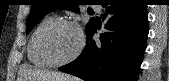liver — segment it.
I'll list each match as a JSON object with an SVG mask.
<instances>
[{
	"label": "liver",
	"mask_w": 169,
	"mask_h": 81,
	"mask_svg": "<svg viewBox=\"0 0 169 81\" xmlns=\"http://www.w3.org/2000/svg\"><path fill=\"white\" fill-rule=\"evenodd\" d=\"M24 77L29 81H76V78L64 73L31 68L24 70Z\"/></svg>",
	"instance_id": "6515ba94"
}]
</instances>
